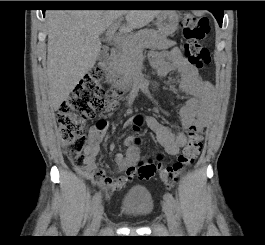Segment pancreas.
<instances>
[{
	"label": "pancreas",
	"mask_w": 265,
	"mask_h": 245,
	"mask_svg": "<svg viewBox=\"0 0 265 245\" xmlns=\"http://www.w3.org/2000/svg\"><path fill=\"white\" fill-rule=\"evenodd\" d=\"M128 40L127 44L120 46L114 60L115 72L123 76L126 83H131L144 48L163 50L176 44L152 29L141 30L129 37Z\"/></svg>",
	"instance_id": "1"
}]
</instances>
